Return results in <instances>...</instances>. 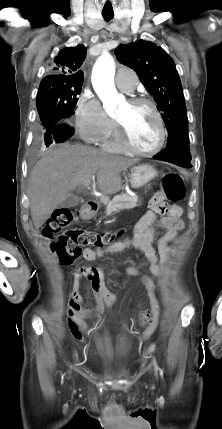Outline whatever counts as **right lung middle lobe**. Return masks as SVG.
<instances>
[{"label":"right lung middle lobe","mask_w":222,"mask_h":429,"mask_svg":"<svg viewBox=\"0 0 222 429\" xmlns=\"http://www.w3.org/2000/svg\"><path fill=\"white\" fill-rule=\"evenodd\" d=\"M83 83H41L37 92L36 106L45 130L68 122L74 113L77 96Z\"/></svg>","instance_id":"right-lung-middle-lobe-1"}]
</instances>
